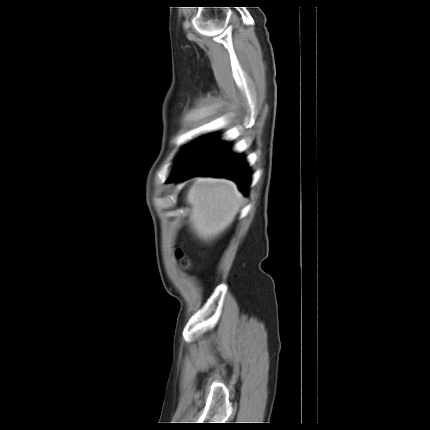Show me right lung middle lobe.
<instances>
[{"instance_id":"obj_1","label":"right lung middle lobe","mask_w":430,"mask_h":430,"mask_svg":"<svg viewBox=\"0 0 430 430\" xmlns=\"http://www.w3.org/2000/svg\"><path fill=\"white\" fill-rule=\"evenodd\" d=\"M218 142L219 139L215 135H207L192 142L177 158L172 173L191 164Z\"/></svg>"}]
</instances>
